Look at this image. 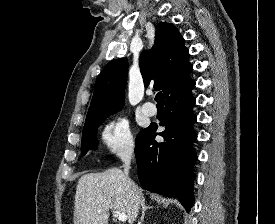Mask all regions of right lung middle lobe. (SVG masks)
I'll use <instances>...</instances> for the list:
<instances>
[{"instance_id": "obj_1", "label": "right lung middle lobe", "mask_w": 275, "mask_h": 224, "mask_svg": "<svg viewBox=\"0 0 275 224\" xmlns=\"http://www.w3.org/2000/svg\"><path fill=\"white\" fill-rule=\"evenodd\" d=\"M107 117H104V118H102V119H100L98 121H95V122H93V123H91V124H89V125H87V126L84 127L82 141H81V153H82V155H85L88 150L96 148L95 143H96L97 129H98L99 125ZM141 132L142 131H140L139 134Z\"/></svg>"}]
</instances>
